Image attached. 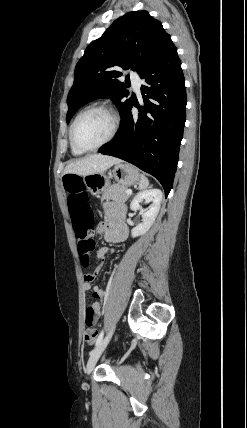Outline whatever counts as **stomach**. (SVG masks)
<instances>
[{"instance_id":"0dacf381","label":"stomach","mask_w":247,"mask_h":428,"mask_svg":"<svg viewBox=\"0 0 247 428\" xmlns=\"http://www.w3.org/2000/svg\"><path fill=\"white\" fill-rule=\"evenodd\" d=\"M114 178L115 181L123 186H131L136 184L140 180L139 170L128 163L115 164L110 175H106L105 172L89 174L82 176V180L93 196H99L104 190L110 186V178Z\"/></svg>"}]
</instances>
